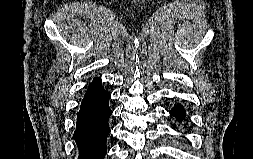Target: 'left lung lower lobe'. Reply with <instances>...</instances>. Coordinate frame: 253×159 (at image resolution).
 <instances>
[{
	"instance_id": "left-lung-lower-lobe-1",
	"label": "left lung lower lobe",
	"mask_w": 253,
	"mask_h": 159,
	"mask_svg": "<svg viewBox=\"0 0 253 159\" xmlns=\"http://www.w3.org/2000/svg\"><path fill=\"white\" fill-rule=\"evenodd\" d=\"M170 114H172L178 120L182 121L185 117V110L182 106L177 105L172 109Z\"/></svg>"
}]
</instances>
